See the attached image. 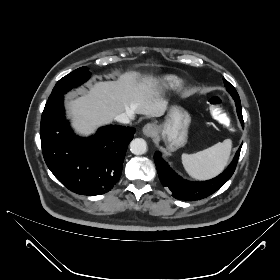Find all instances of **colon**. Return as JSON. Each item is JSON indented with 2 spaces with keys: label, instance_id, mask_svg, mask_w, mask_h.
Wrapping results in <instances>:
<instances>
[{
  "label": "colon",
  "instance_id": "1",
  "mask_svg": "<svg viewBox=\"0 0 280 280\" xmlns=\"http://www.w3.org/2000/svg\"><path fill=\"white\" fill-rule=\"evenodd\" d=\"M209 109L212 117L220 124H224L225 130L230 134H235L239 130V125L235 119L229 118L225 109L224 101L219 96H213L209 99Z\"/></svg>",
  "mask_w": 280,
  "mask_h": 280
}]
</instances>
